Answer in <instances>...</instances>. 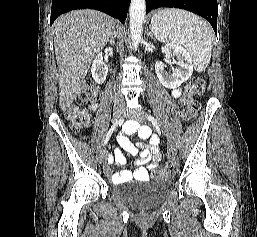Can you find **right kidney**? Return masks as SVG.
<instances>
[{"label": "right kidney", "instance_id": "ca27d5eb", "mask_svg": "<svg viewBox=\"0 0 257 237\" xmlns=\"http://www.w3.org/2000/svg\"><path fill=\"white\" fill-rule=\"evenodd\" d=\"M91 73L94 81L98 84H101L106 80L108 67L103 61L102 53H98L95 56L92 62Z\"/></svg>", "mask_w": 257, "mask_h": 237}]
</instances>
